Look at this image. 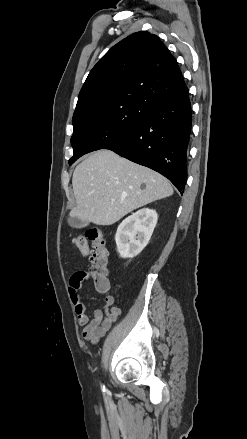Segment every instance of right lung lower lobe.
Segmentation results:
<instances>
[{
	"mask_svg": "<svg viewBox=\"0 0 247 439\" xmlns=\"http://www.w3.org/2000/svg\"><path fill=\"white\" fill-rule=\"evenodd\" d=\"M190 130L191 104L187 90L152 105L130 133L107 149L161 173L182 191L187 180Z\"/></svg>",
	"mask_w": 247,
	"mask_h": 439,
	"instance_id": "98d812e1",
	"label": "right lung lower lobe"
}]
</instances>
